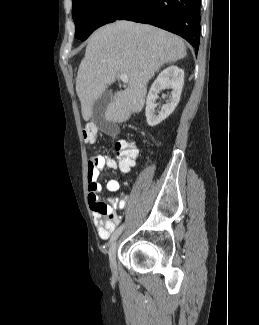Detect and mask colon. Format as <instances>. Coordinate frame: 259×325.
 I'll return each mask as SVG.
<instances>
[{
	"instance_id": "colon-1",
	"label": "colon",
	"mask_w": 259,
	"mask_h": 325,
	"mask_svg": "<svg viewBox=\"0 0 259 325\" xmlns=\"http://www.w3.org/2000/svg\"><path fill=\"white\" fill-rule=\"evenodd\" d=\"M83 137L89 142L95 141L97 137V128L94 124H88L83 129ZM115 148L118 152V155L122 158H130L136 154L135 146L132 143L118 140L115 143Z\"/></svg>"
}]
</instances>
